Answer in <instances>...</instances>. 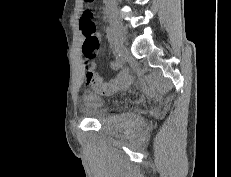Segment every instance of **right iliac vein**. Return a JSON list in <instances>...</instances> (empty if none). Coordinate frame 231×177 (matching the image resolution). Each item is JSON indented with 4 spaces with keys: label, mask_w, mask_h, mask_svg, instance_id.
Wrapping results in <instances>:
<instances>
[{
    "label": "right iliac vein",
    "mask_w": 231,
    "mask_h": 177,
    "mask_svg": "<svg viewBox=\"0 0 231 177\" xmlns=\"http://www.w3.org/2000/svg\"><path fill=\"white\" fill-rule=\"evenodd\" d=\"M107 17L115 34V46L118 51L124 48L125 31L114 9H108Z\"/></svg>",
    "instance_id": "obj_1"
}]
</instances>
